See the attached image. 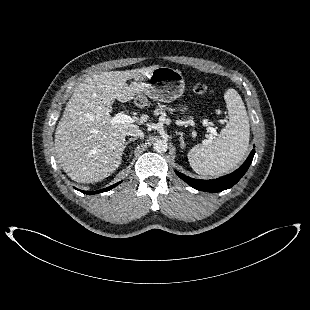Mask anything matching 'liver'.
Listing matches in <instances>:
<instances>
[{
  "label": "liver",
  "mask_w": 310,
  "mask_h": 310,
  "mask_svg": "<svg viewBox=\"0 0 310 310\" xmlns=\"http://www.w3.org/2000/svg\"><path fill=\"white\" fill-rule=\"evenodd\" d=\"M158 67L94 74L81 82L69 99L55 132V153L66 174L79 183H94L120 166L125 137L138 128L111 123L115 99L128 102L145 87V78ZM134 79L130 85L127 80ZM148 119L142 115L139 123Z\"/></svg>",
  "instance_id": "liver-1"
}]
</instances>
